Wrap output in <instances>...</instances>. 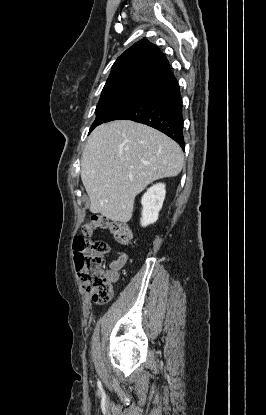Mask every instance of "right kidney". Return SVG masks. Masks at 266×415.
Listing matches in <instances>:
<instances>
[{
    "label": "right kidney",
    "mask_w": 266,
    "mask_h": 415,
    "mask_svg": "<svg viewBox=\"0 0 266 415\" xmlns=\"http://www.w3.org/2000/svg\"><path fill=\"white\" fill-rule=\"evenodd\" d=\"M165 194V184L158 183L150 187L147 190V192L142 196V226L145 227L157 221L159 211L163 206Z\"/></svg>",
    "instance_id": "right-kidney-1"
}]
</instances>
